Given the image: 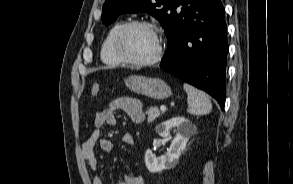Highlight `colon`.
<instances>
[{
  "mask_svg": "<svg viewBox=\"0 0 293 184\" xmlns=\"http://www.w3.org/2000/svg\"><path fill=\"white\" fill-rule=\"evenodd\" d=\"M101 85L99 83H95L91 87V97L92 99H95L98 94L100 93Z\"/></svg>",
  "mask_w": 293,
  "mask_h": 184,
  "instance_id": "obj_1",
  "label": "colon"
}]
</instances>
